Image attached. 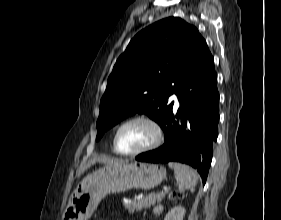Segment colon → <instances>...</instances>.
I'll return each instance as SVG.
<instances>
[{
  "mask_svg": "<svg viewBox=\"0 0 281 220\" xmlns=\"http://www.w3.org/2000/svg\"><path fill=\"white\" fill-rule=\"evenodd\" d=\"M182 196H183V194L180 193V192H175V193H173V197H174V198H181Z\"/></svg>",
  "mask_w": 281,
  "mask_h": 220,
  "instance_id": "obj_1",
  "label": "colon"
}]
</instances>
